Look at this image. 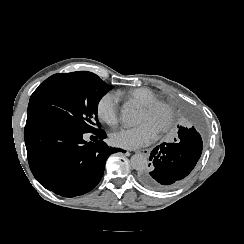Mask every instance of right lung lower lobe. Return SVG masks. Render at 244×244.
I'll return each instance as SVG.
<instances>
[{
    "label": "right lung lower lobe",
    "mask_w": 244,
    "mask_h": 244,
    "mask_svg": "<svg viewBox=\"0 0 244 244\" xmlns=\"http://www.w3.org/2000/svg\"><path fill=\"white\" fill-rule=\"evenodd\" d=\"M90 133L95 142H86L85 132L47 122H26L29 166L43 187L64 197L85 194L101 180L109 155L125 152L109 148L102 140L107 137L102 129Z\"/></svg>",
    "instance_id": "right-lung-lower-lobe-1"
}]
</instances>
